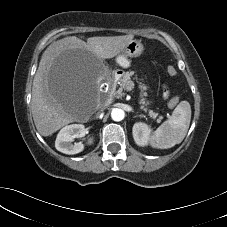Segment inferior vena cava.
Masks as SVG:
<instances>
[{
    "label": "inferior vena cava",
    "mask_w": 227,
    "mask_h": 227,
    "mask_svg": "<svg viewBox=\"0 0 227 227\" xmlns=\"http://www.w3.org/2000/svg\"><path fill=\"white\" fill-rule=\"evenodd\" d=\"M107 105H108V103H104V104L98 105V107H97L98 110H99L98 113H101L106 108Z\"/></svg>",
    "instance_id": "1"
}]
</instances>
